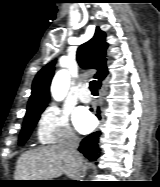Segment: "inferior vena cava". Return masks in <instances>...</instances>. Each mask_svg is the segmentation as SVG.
<instances>
[{"label":"inferior vena cava","instance_id":"obj_1","mask_svg":"<svg viewBox=\"0 0 160 187\" xmlns=\"http://www.w3.org/2000/svg\"><path fill=\"white\" fill-rule=\"evenodd\" d=\"M67 152L73 156V158L75 159V161L81 165V159H80V156H79V153L77 151V148L79 146V139L78 137L73 134V133H70V135L68 136V139L67 141L65 142L64 144ZM81 177V169L79 170V174H78V178Z\"/></svg>","mask_w":160,"mask_h":187}]
</instances>
